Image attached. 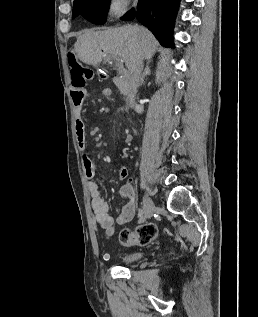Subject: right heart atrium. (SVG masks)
I'll use <instances>...</instances> for the list:
<instances>
[{"instance_id":"1","label":"right heart atrium","mask_w":258,"mask_h":317,"mask_svg":"<svg viewBox=\"0 0 258 317\" xmlns=\"http://www.w3.org/2000/svg\"><path fill=\"white\" fill-rule=\"evenodd\" d=\"M130 7L131 2L129 0H111L107 6L108 15L112 20H117L124 16Z\"/></svg>"}]
</instances>
